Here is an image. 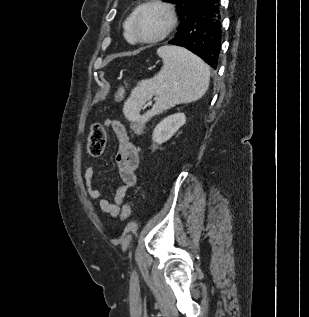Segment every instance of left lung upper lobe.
Wrapping results in <instances>:
<instances>
[{"instance_id": "obj_1", "label": "left lung upper lobe", "mask_w": 309, "mask_h": 317, "mask_svg": "<svg viewBox=\"0 0 309 317\" xmlns=\"http://www.w3.org/2000/svg\"><path fill=\"white\" fill-rule=\"evenodd\" d=\"M163 1L176 4L177 6L176 12L180 16V21H181L179 30H181L184 27L186 20L193 13V11L196 10L198 7H200L202 4H204L207 0H163Z\"/></svg>"}]
</instances>
